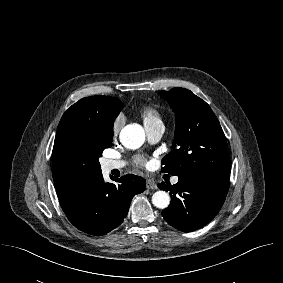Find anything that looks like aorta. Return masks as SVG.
Wrapping results in <instances>:
<instances>
[{
    "label": "aorta",
    "instance_id": "1",
    "mask_svg": "<svg viewBox=\"0 0 283 283\" xmlns=\"http://www.w3.org/2000/svg\"><path fill=\"white\" fill-rule=\"evenodd\" d=\"M120 141L128 149H137L145 141V132L139 124H129L120 132ZM152 203L159 209H165L170 204V196L167 192L159 190L152 196Z\"/></svg>",
    "mask_w": 283,
    "mask_h": 283
}]
</instances>
